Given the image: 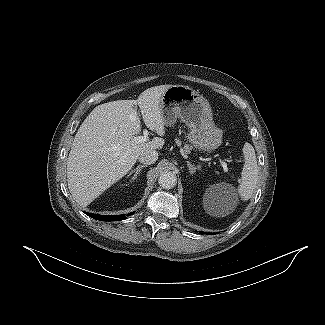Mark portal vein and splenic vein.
Segmentation results:
<instances>
[{
  "label": "portal vein and splenic vein",
  "instance_id": "18ae733b",
  "mask_svg": "<svg viewBox=\"0 0 325 325\" xmlns=\"http://www.w3.org/2000/svg\"><path fill=\"white\" fill-rule=\"evenodd\" d=\"M148 135H149V132L145 129V130H143V135L135 137L134 140L137 142H146L149 140ZM220 163H221L224 171L226 172L227 171V163L224 160H220Z\"/></svg>",
  "mask_w": 325,
  "mask_h": 325
}]
</instances>
